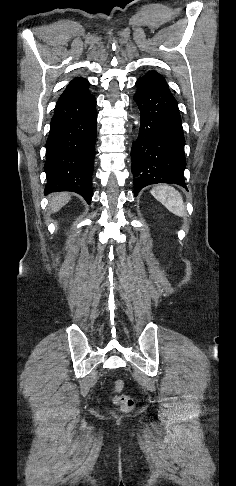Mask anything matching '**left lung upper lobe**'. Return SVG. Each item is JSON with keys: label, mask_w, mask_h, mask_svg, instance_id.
Wrapping results in <instances>:
<instances>
[{"label": "left lung upper lobe", "mask_w": 236, "mask_h": 486, "mask_svg": "<svg viewBox=\"0 0 236 486\" xmlns=\"http://www.w3.org/2000/svg\"><path fill=\"white\" fill-rule=\"evenodd\" d=\"M143 77H146V78H149V79H152V80H155V81H158L162 84H164L165 86L168 87L164 77L162 75H160L159 73H157L156 71H149L148 73H146L145 76Z\"/></svg>", "instance_id": "obj_1"}]
</instances>
